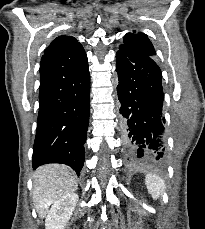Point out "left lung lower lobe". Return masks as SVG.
<instances>
[{"label": "left lung lower lobe", "mask_w": 205, "mask_h": 229, "mask_svg": "<svg viewBox=\"0 0 205 229\" xmlns=\"http://www.w3.org/2000/svg\"><path fill=\"white\" fill-rule=\"evenodd\" d=\"M116 71L123 146L132 157L160 163L166 156L161 70L153 57L122 44Z\"/></svg>", "instance_id": "left-lung-lower-lobe-1"}]
</instances>
